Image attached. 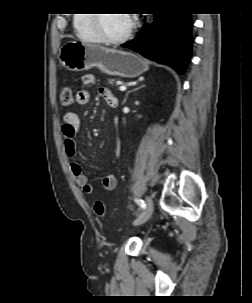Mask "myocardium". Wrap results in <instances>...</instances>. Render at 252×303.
I'll return each instance as SVG.
<instances>
[{"label":"myocardium","mask_w":252,"mask_h":303,"mask_svg":"<svg viewBox=\"0 0 252 303\" xmlns=\"http://www.w3.org/2000/svg\"><path fill=\"white\" fill-rule=\"evenodd\" d=\"M92 15H93L96 31H97L101 41H103L105 43H109V44H119V43L126 41L131 36V34L137 24L136 17L133 14H128V16L130 17V24H129L127 30L120 36L110 37L105 34V32L103 31V29L101 27L103 14H92Z\"/></svg>","instance_id":"f54148a6"}]
</instances>
